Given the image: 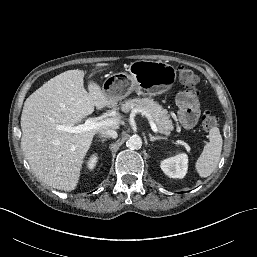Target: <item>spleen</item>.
Masks as SVG:
<instances>
[{
    "label": "spleen",
    "instance_id": "3e777b00",
    "mask_svg": "<svg viewBox=\"0 0 257 257\" xmlns=\"http://www.w3.org/2000/svg\"><path fill=\"white\" fill-rule=\"evenodd\" d=\"M208 139L209 142L195 164V169L202 178L210 176L216 169L222 152L223 141L217 127L210 129Z\"/></svg>",
    "mask_w": 257,
    "mask_h": 257
}]
</instances>
